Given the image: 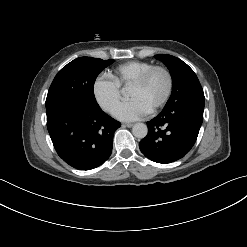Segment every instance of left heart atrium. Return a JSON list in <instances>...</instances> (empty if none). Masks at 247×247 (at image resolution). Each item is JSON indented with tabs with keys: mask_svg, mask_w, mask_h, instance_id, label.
<instances>
[{
	"mask_svg": "<svg viewBox=\"0 0 247 247\" xmlns=\"http://www.w3.org/2000/svg\"><path fill=\"white\" fill-rule=\"evenodd\" d=\"M150 109L139 99H131L119 104L114 110V116L122 121H133L143 118Z\"/></svg>",
	"mask_w": 247,
	"mask_h": 247,
	"instance_id": "obj_1",
	"label": "left heart atrium"
}]
</instances>
